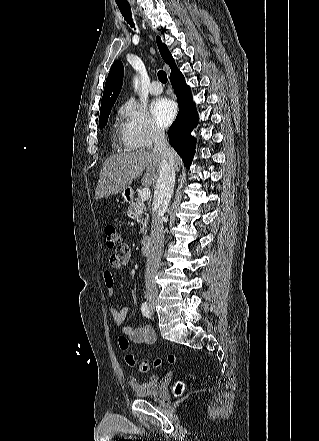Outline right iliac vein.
Wrapping results in <instances>:
<instances>
[{"label": "right iliac vein", "instance_id": "63e3f726", "mask_svg": "<svg viewBox=\"0 0 319 441\" xmlns=\"http://www.w3.org/2000/svg\"><path fill=\"white\" fill-rule=\"evenodd\" d=\"M149 306H150L151 309H153L154 306H155V302L153 300H150L149 301Z\"/></svg>", "mask_w": 319, "mask_h": 441}]
</instances>
